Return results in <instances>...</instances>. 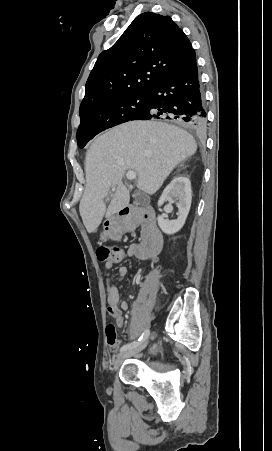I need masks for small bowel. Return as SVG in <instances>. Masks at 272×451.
<instances>
[{"instance_id": "small-bowel-1", "label": "small bowel", "mask_w": 272, "mask_h": 451, "mask_svg": "<svg viewBox=\"0 0 272 451\" xmlns=\"http://www.w3.org/2000/svg\"><path fill=\"white\" fill-rule=\"evenodd\" d=\"M123 258V252L116 257L105 261V268L107 270L112 269L114 264L120 262ZM153 262H157L158 256H152ZM129 274V269L126 266H120L116 272L111 274L106 278L107 287V311L109 315L115 320L118 328H123L125 326V320L122 315L123 311L128 310V303L125 301H120V294L118 287L114 284V280L122 281Z\"/></svg>"}]
</instances>
